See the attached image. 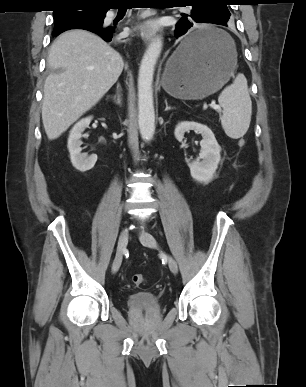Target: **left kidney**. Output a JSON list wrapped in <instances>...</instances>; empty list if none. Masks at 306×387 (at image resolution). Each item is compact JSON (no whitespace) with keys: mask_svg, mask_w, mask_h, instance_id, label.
<instances>
[{"mask_svg":"<svg viewBox=\"0 0 306 387\" xmlns=\"http://www.w3.org/2000/svg\"><path fill=\"white\" fill-rule=\"evenodd\" d=\"M191 130L201 134L202 140L200 141L199 158L192 162L187 161L190 174L196 181L208 183L213 179L218 168L221 147L217 143L213 132L206 125L193 121L179 123L174 131L175 138L182 142L185 133Z\"/></svg>","mask_w":306,"mask_h":387,"instance_id":"left-kidney-1","label":"left kidney"}]
</instances>
